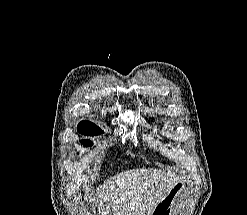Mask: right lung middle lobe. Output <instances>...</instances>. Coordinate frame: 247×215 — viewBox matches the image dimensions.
Wrapping results in <instances>:
<instances>
[{
	"mask_svg": "<svg viewBox=\"0 0 247 215\" xmlns=\"http://www.w3.org/2000/svg\"><path fill=\"white\" fill-rule=\"evenodd\" d=\"M78 131L79 133L86 135V136H95V135H99L102 134L103 131L96 126L95 124H93L90 121H82L79 123L78 125ZM82 143L85 146H91L92 142L89 140H83Z\"/></svg>",
	"mask_w": 247,
	"mask_h": 215,
	"instance_id": "obj_1",
	"label": "right lung middle lobe"
}]
</instances>
